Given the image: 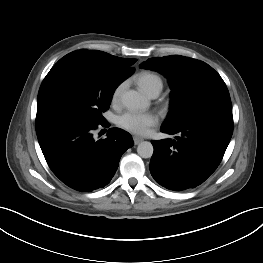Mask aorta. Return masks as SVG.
Here are the masks:
<instances>
[{
    "label": "aorta",
    "mask_w": 263,
    "mask_h": 263,
    "mask_svg": "<svg viewBox=\"0 0 263 263\" xmlns=\"http://www.w3.org/2000/svg\"><path fill=\"white\" fill-rule=\"evenodd\" d=\"M122 103L130 110H144L149 106L145 96L135 90H129L122 96ZM154 152L151 142L143 141L137 147V153L142 158H151Z\"/></svg>",
    "instance_id": "aorta-1"
}]
</instances>
